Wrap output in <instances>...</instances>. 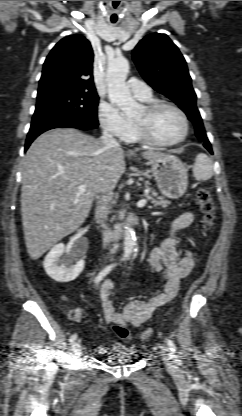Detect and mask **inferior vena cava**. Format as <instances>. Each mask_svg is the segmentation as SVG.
I'll return each mask as SVG.
<instances>
[{"instance_id":"inferior-vena-cava-1","label":"inferior vena cava","mask_w":242,"mask_h":416,"mask_svg":"<svg viewBox=\"0 0 242 416\" xmlns=\"http://www.w3.org/2000/svg\"><path fill=\"white\" fill-rule=\"evenodd\" d=\"M101 142L107 149L119 146L118 142L115 140V138L109 132L108 129H104L103 134L101 136ZM108 209L109 207L101 201L97 206L96 213L101 219L107 220V215L109 212ZM102 226L105 228L103 232V241L105 244H107L111 240L112 233H111V230H109V228L106 226V224H102Z\"/></svg>"}]
</instances>
